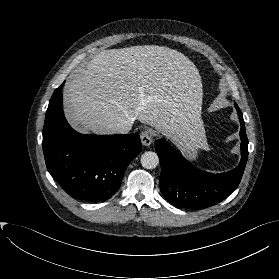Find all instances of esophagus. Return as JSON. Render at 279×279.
Segmentation results:
<instances>
[{
  "mask_svg": "<svg viewBox=\"0 0 279 279\" xmlns=\"http://www.w3.org/2000/svg\"><path fill=\"white\" fill-rule=\"evenodd\" d=\"M141 143L144 146H150L151 143L153 142V132L150 129H145L144 131H142L141 133Z\"/></svg>",
  "mask_w": 279,
  "mask_h": 279,
  "instance_id": "34e87169",
  "label": "esophagus"
}]
</instances>
